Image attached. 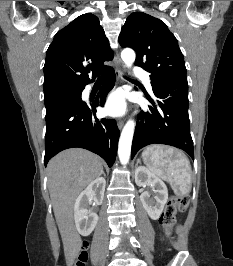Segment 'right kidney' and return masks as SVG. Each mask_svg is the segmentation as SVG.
Returning <instances> with one entry per match:
<instances>
[{
	"label": "right kidney",
	"mask_w": 233,
	"mask_h": 266,
	"mask_svg": "<svg viewBox=\"0 0 233 266\" xmlns=\"http://www.w3.org/2000/svg\"><path fill=\"white\" fill-rule=\"evenodd\" d=\"M105 186V179L99 177L92 181L75 201L74 219L76 228L82 236L90 235L98 222V215L88 210V206L92 201L96 205L102 204Z\"/></svg>",
	"instance_id": "obj_1"
}]
</instances>
